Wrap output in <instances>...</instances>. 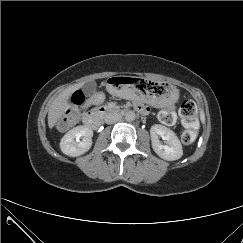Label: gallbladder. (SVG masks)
<instances>
[{
  "label": "gallbladder",
  "instance_id": "gallbladder-1",
  "mask_svg": "<svg viewBox=\"0 0 243 243\" xmlns=\"http://www.w3.org/2000/svg\"><path fill=\"white\" fill-rule=\"evenodd\" d=\"M96 89V82L88 81L83 86V91L85 94L90 95Z\"/></svg>",
  "mask_w": 243,
  "mask_h": 243
}]
</instances>
